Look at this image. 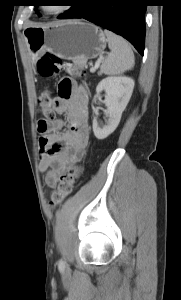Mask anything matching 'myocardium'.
<instances>
[{"instance_id":"obj_1","label":"myocardium","mask_w":181,"mask_h":300,"mask_svg":"<svg viewBox=\"0 0 181 300\" xmlns=\"http://www.w3.org/2000/svg\"><path fill=\"white\" fill-rule=\"evenodd\" d=\"M70 8H71L70 5H62L59 9L51 11L46 9L45 6H42V10L50 16L64 15Z\"/></svg>"}]
</instances>
